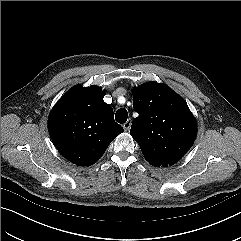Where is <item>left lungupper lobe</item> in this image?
<instances>
[{
    "instance_id": "obj_1",
    "label": "left lung upper lobe",
    "mask_w": 241,
    "mask_h": 241,
    "mask_svg": "<svg viewBox=\"0 0 241 241\" xmlns=\"http://www.w3.org/2000/svg\"><path fill=\"white\" fill-rule=\"evenodd\" d=\"M133 107L139 117L130 134L153 166L178 162L192 146L196 121L187 103L168 86L147 82L133 90Z\"/></svg>"
}]
</instances>
